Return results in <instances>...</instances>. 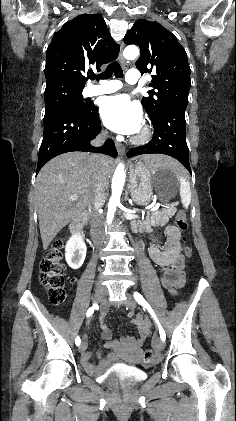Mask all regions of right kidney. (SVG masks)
I'll use <instances>...</instances> for the list:
<instances>
[{
	"label": "right kidney",
	"mask_w": 236,
	"mask_h": 421,
	"mask_svg": "<svg viewBox=\"0 0 236 421\" xmlns=\"http://www.w3.org/2000/svg\"><path fill=\"white\" fill-rule=\"evenodd\" d=\"M87 247L80 235H72L65 249V259L71 269H80L86 257Z\"/></svg>",
	"instance_id": "right-kidney-1"
}]
</instances>
